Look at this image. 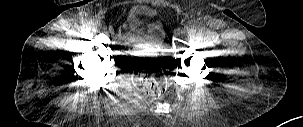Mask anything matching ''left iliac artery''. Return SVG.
Here are the masks:
<instances>
[{
	"label": "left iliac artery",
	"instance_id": "44dca946",
	"mask_svg": "<svg viewBox=\"0 0 303 127\" xmlns=\"http://www.w3.org/2000/svg\"><path fill=\"white\" fill-rule=\"evenodd\" d=\"M188 33H189V35H194L196 33V29L191 28V29H189Z\"/></svg>",
	"mask_w": 303,
	"mask_h": 127
}]
</instances>
